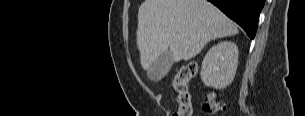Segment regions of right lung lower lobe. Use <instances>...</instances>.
Returning <instances> with one entry per match:
<instances>
[{
  "label": "right lung lower lobe",
  "instance_id": "right-lung-lower-lobe-1",
  "mask_svg": "<svg viewBox=\"0 0 305 116\" xmlns=\"http://www.w3.org/2000/svg\"><path fill=\"white\" fill-rule=\"evenodd\" d=\"M237 22L253 39L265 0H208Z\"/></svg>",
  "mask_w": 305,
  "mask_h": 116
}]
</instances>
